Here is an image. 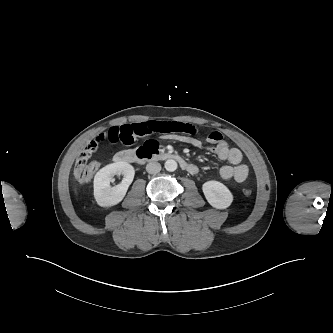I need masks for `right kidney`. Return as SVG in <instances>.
Returning <instances> with one entry per match:
<instances>
[{
  "label": "right kidney",
  "mask_w": 333,
  "mask_h": 333,
  "mask_svg": "<svg viewBox=\"0 0 333 333\" xmlns=\"http://www.w3.org/2000/svg\"><path fill=\"white\" fill-rule=\"evenodd\" d=\"M124 176L120 184L111 187L114 176ZM135 170L126 162H115L100 169L94 177V197L101 207H111L120 203L134 178Z\"/></svg>",
  "instance_id": "1"
}]
</instances>
